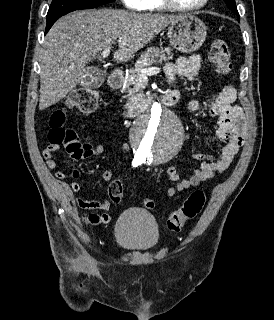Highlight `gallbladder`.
I'll return each mask as SVG.
<instances>
[{"label":"gallbladder","mask_w":274,"mask_h":320,"mask_svg":"<svg viewBox=\"0 0 274 320\" xmlns=\"http://www.w3.org/2000/svg\"><path fill=\"white\" fill-rule=\"evenodd\" d=\"M106 81L104 68H85L83 78H79V85L83 90H94V85H103Z\"/></svg>","instance_id":"obj_1"}]
</instances>
